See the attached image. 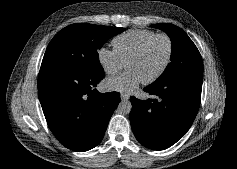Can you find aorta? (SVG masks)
<instances>
[{"instance_id": "1", "label": "aorta", "mask_w": 237, "mask_h": 169, "mask_svg": "<svg viewBox=\"0 0 237 169\" xmlns=\"http://www.w3.org/2000/svg\"><path fill=\"white\" fill-rule=\"evenodd\" d=\"M117 110L120 114H129L132 110V104L129 100H122L118 107H117Z\"/></svg>"}]
</instances>
